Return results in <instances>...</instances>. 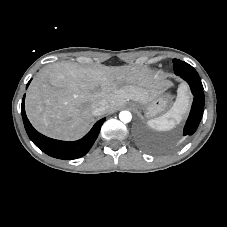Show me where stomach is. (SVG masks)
Wrapping results in <instances>:
<instances>
[{"label": "stomach", "mask_w": 227, "mask_h": 227, "mask_svg": "<svg viewBox=\"0 0 227 227\" xmlns=\"http://www.w3.org/2000/svg\"><path fill=\"white\" fill-rule=\"evenodd\" d=\"M170 100L171 96L169 94H161L147 103L132 101L129 104L134 109L143 111L147 118H151L166 111Z\"/></svg>", "instance_id": "1"}]
</instances>
